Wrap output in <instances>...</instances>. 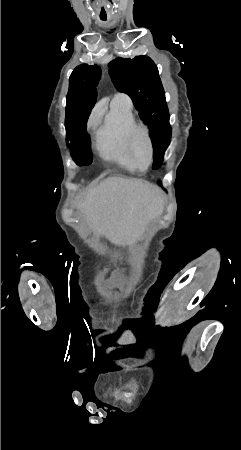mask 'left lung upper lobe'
Instances as JSON below:
<instances>
[{"label":"left lung upper lobe","instance_id":"left-lung-upper-lobe-1","mask_svg":"<svg viewBox=\"0 0 241 450\" xmlns=\"http://www.w3.org/2000/svg\"><path fill=\"white\" fill-rule=\"evenodd\" d=\"M109 74L115 87L128 94L144 123L149 125L154 148L153 168L162 164L169 144L171 127L164 89L158 69L150 57H118L109 63Z\"/></svg>","mask_w":241,"mask_h":450}]
</instances>
